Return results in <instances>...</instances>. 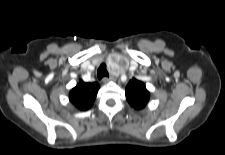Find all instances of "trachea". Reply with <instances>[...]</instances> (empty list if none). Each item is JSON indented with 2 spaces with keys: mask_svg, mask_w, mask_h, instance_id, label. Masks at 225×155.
I'll return each mask as SVG.
<instances>
[{
  "mask_svg": "<svg viewBox=\"0 0 225 155\" xmlns=\"http://www.w3.org/2000/svg\"><path fill=\"white\" fill-rule=\"evenodd\" d=\"M97 76L99 79H102L103 77H109L106 65L104 63L99 67L97 71Z\"/></svg>",
  "mask_w": 225,
  "mask_h": 155,
  "instance_id": "trachea-1",
  "label": "trachea"
}]
</instances>
